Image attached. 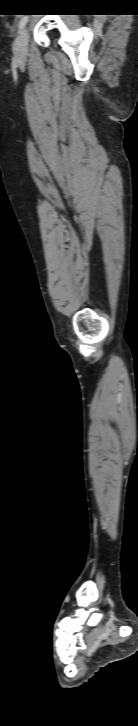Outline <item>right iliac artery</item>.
Wrapping results in <instances>:
<instances>
[{"mask_svg": "<svg viewBox=\"0 0 138 726\" xmlns=\"http://www.w3.org/2000/svg\"><path fill=\"white\" fill-rule=\"evenodd\" d=\"M27 22H28V17H27V16L23 17V18H22V19L20 20V23H19V29H20V30H21V29H23V28H24V26L26 25V23H27Z\"/></svg>", "mask_w": 138, "mask_h": 726, "instance_id": "1", "label": "right iliac artery"}]
</instances>
